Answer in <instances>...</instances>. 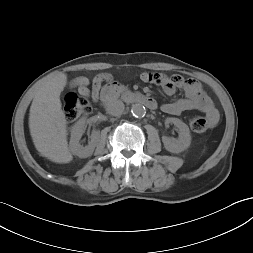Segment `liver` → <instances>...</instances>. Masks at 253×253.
<instances>
[{
  "mask_svg": "<svg viewBox=\"0 0 253 253\" xmlns=\"http://www.w3.org/2000/svg\"><path fill=\"white\" fill-rule=\"evenodd\" d=\"M66 84V74L53 76L37 90L30 107L29 128L35 148L55 163H69L73 159L59 97Z\"/></svg>",
  "mask_w": 253,
  "mask_h": 253,
  "instance_id": "6515ba94",
  "label": "liver"
}]
</instances>
